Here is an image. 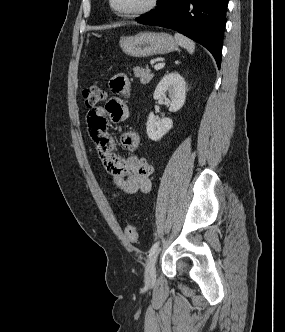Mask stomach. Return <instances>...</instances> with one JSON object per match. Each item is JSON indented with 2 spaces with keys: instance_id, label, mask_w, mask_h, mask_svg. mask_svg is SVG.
<instances>
[{
  "instance_id": "stomach-1",
  "label": "stomach",
  "mask_w": 285,
  "mask_h": 332,
  "mask_svg": "<svg viewBox=\"0 0 285 332\" xmlns=\"http://www.w3.org/2000/svg\"><path fill=\"white\" fill-rule=\"evenodd\" d=\"M119 44L125 54L137 58L166 54L177 49L176 40L163 32H141L135 36L121 37Z\"/></svg>"
}]
</instances>
